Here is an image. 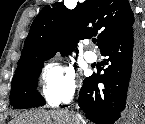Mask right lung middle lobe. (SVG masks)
I'll return each instance as SVG.
<instances>
[{
	"label": "right lung middle lobe",
	"mask_w": 145,
	"mask_h": 124,
	"mask_svg": "<svg viewBox=\"0 0 145 124\" xmlns=\"http://www.w3.org/2000/svg\"><path fill=\"white\" fill-rule=\"evenodd\" d=\"M43 61H38L14 75L10 93L11 105L14 108L26 109L45 104L44 98L36 91Z\"/></svg>",
	"instance_id": "dd1d6c3e"
}]
</instances>
